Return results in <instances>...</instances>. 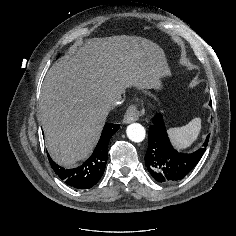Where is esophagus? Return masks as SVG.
I'll list each match as a JSON object with an SVG mask.
<instances>
[{"label": "esophagus", "instance_id": "obj_1", "mask_svg": "<svg viewBox=\"0 0 236 236\" xmlns=\"http://www.w3.org/2000/svg\"><path fill=\"white\" fill-rule=\"evenodd\" d=\"M139 115H140V113H139L138 109L136 108V106L130 105L128 107V109L126 110V113L123 117V123L128 124L131 122H135L138 120Z\"/></svg>", "mask_w": 236, "mask_h": 236}]
</instances>
